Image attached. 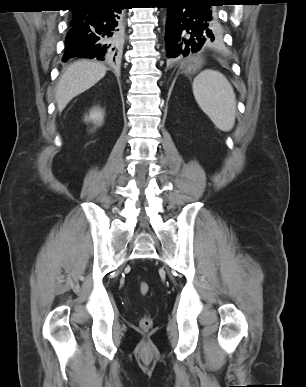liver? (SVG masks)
<instances>
[{
    "label": "liver",
    "instance_id": "obj_1",
    "mask_svg": "<svg viewBox=\"0 0 306 387\" xmlns=\"http://www.w3.org/2000/svg\"><path fill=\"white\" fill-rule=\"evenodd\" d=\"M105 65L79 60L69 65L56 88V103L59 111L76 96L98 83L106 74Z\"/></svg>",
    "mask_w": 306,
    "mask_h": 387
}]
</instances>
